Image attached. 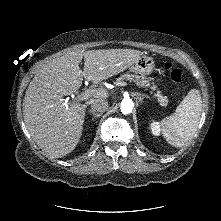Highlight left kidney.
<instances>
[{
  "label": "left kidney",
  "mask_w": 221,
  "mask_h": 221,
  "mask_svg": "<svg viewBox=\"0 0 221 221\" xmlns=\"http://www.w3.org/2000/svg\"><path fill=\"white\" fill-rule=\"evenodd\" d=\"M151 130L154 135L159 136L161 132V125L159 122L153 121L151 123Z\"/></svg>",
  "instance_id": "1"
}]
</instances>
